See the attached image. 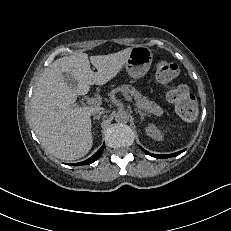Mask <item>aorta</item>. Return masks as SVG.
Instances as JSON below:
<instances>
[{
  "instance_id": "762f6f07",
  "label": "aorta",
  "mask_w": 231,
  "mask_h": 231,
  "mask_svg": "<svg viewBox=\"0 0 231 231\" xmlns=\"http://www.w3.org/2000/svg\"><path fill=\"white\" fill-rule=\"evenodd\" d=\"M115 121L118 123H127L129 121V114L124 110H120L115 115Z\"/></svg>"
}]
</instances>
